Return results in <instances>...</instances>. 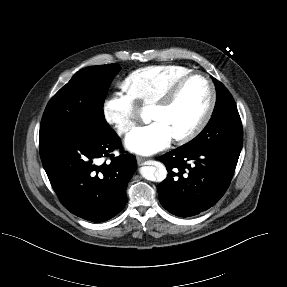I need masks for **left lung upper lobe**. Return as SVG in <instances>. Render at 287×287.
<instances>
[{"label":"left lung upper lobe","instance_id":"left-lung-upper-lobe-1","mask_svg":"<svg viewBox=\"0 0 287 287\" xmlns=\"http://www.w3.org/2000/svg\"><path fill=\"white\" fill-rule=\"evenodd\" d=\"M216 86V105L212 117L203 131L187 146L222 148L240 153L243 130L236 103L227 88L212 77Z\"/></svg>","mask_w":287,"mask_h":287}]
</instances>
